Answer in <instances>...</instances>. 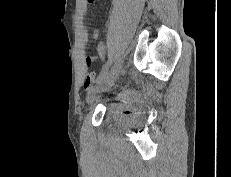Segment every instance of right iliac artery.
Masks as SVG:
<instances>
[{
	"instance_id": "right-iliac-artery-1",
	"label": "right iliac artery",
	"mask_w": 231,
	"mask_h": 177,
	"mask_svg": "<svg viewBox=\"0 0 231 177\" xmlns=\"http://www.w3.org/2000/svg\"><path fill=\"white\" fill-rule=\"evenodd\" d=\"M110 62H107V64L103 67L102 71L100 72L97 83H101V81L104 79L105 75L107 74L109 70Z\"/></svg>"
}]
</instances>
